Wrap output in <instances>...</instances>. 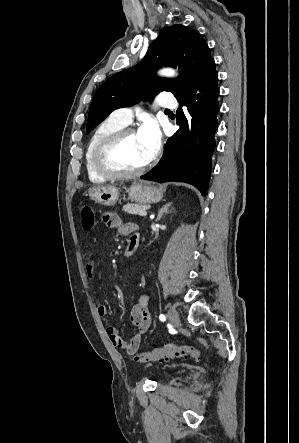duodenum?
Masks as SVG:
<instances>
[{
  "label": "duodenum",
  "instance_id": "obj_1",
  "mask_svg": "<svg viewBox=\"0 0 299 443\" xmlns=\"http://www.w3.org/2000/svg\"><path fill=\"white\" fill-rule=\"evenodd\" d=\"M138 244H139V239H133L131 242H129L126 249L124 250V256L129 257L132 254H134L138 248Z\"/></svg>",
  "mask_w": 299,
  "mask_h": 443
}]
</instances>
